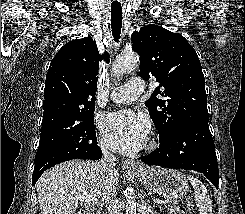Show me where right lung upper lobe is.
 I'll return each mask as SVG.
<instances>
[{"label":"right lung upper lobe","mask_w":245,"mask_h":214,"mask_svg":"<svg viewBox=\"0 0 245 214\" xmlns=\"http://www.w3.org/2000/svg\"><path fill=\"white\" fill-rule=\"evenodd\" d=\"M100 55L90 37L65 44L50 63L46 76L41 132L75 122L95 110Z\"/></svg>","instance_id":"right-lung-upper-lobe-1"}]
</instances>
